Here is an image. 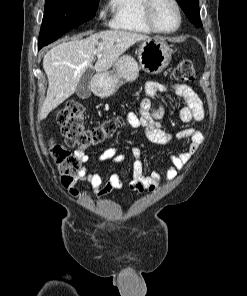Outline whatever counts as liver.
<instances>
[{
    "label": "liver",
    "mask_w": 247,
    "mask_h": 296,
    "mask_svg": "<svg viewBox=\"0 0 247 296\" xmlns=\"http://www.w3.org/2000/svg\"><path fill=\"white\" fill-rule=\"evenodd\" d=\"M149 39L140 33L108 30L82 39L79 36L50 49L43 58V68L48 78L47 96L40 111V119L47 115L76 91L77 85L87 68L97 73L110 69L119 57L133 44ZM98 54H101L98 57ZM98 60L92 66V60Z\"/></svg>",
    "instance_id": "liver-1"
}]
</instances>
